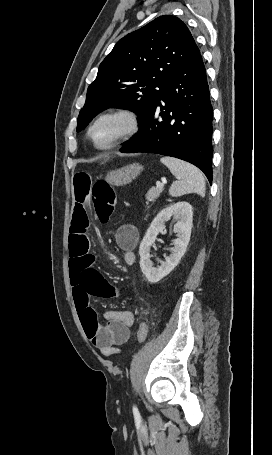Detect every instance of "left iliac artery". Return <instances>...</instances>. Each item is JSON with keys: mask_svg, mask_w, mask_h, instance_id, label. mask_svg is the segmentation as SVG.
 Wrapping results in <instances>:
<instances>
[{"mask_svg": "<svg viewBox=\"0 0 272 455\" xmlns=\"http://www.w3.org/2000/svg\"><path fill=\"white\" fill-rule=\"evenodd\" d=\"M133 413H134L135 416L139 415V411H138L136 406H133Z\"/></svg>", "mask_w": 272, "mask_h": 455, "instance_id": "left-iliac-artery-1", "label": "left iliac artery"}]
</instances>
